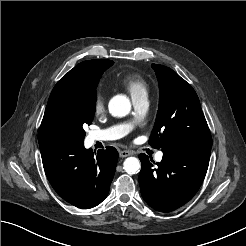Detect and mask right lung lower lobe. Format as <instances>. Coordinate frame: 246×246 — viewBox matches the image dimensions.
Listing matches in <instances>:
<instances>
[{
    "mask_svg": "<svg viewBox=\"0 0 246 246\" xmlns=\"http://www.w3.org/2000/svg\"><path fill=\"white\" fill-rule=\"evenodd\" d=\"M39 146L46 176L60 197L83 209L106 198L118 160L114 147L107 146L94 157L84 139L71 136H52Z\"/></svg>",
    "mask_w": 246,
    "mask_h": 246,
    "instance_id": "98d812e1",
    "label": "right lung lower lobe"
}]
</instances>
